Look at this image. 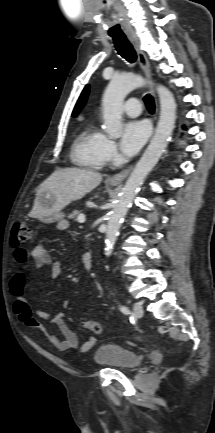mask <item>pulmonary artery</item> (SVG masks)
I'll return each instance as SVG.
<instances>
[{
    "instance_id": "e3ab8cb5",
    "label": "pulmonary artery",
    "mask_w": 215,
    "mask_h": 433,
    "mask_svg": "<svg viewBox=\"0 0 215 433\" xmlns=\"http://www.w3.org/2000/svg\"><path fill=\"white\" fill-rule=\"evenodd\" d=\"M140 109L141 104L137 98H130L123 105L124 112L129 116L139 115Z\"/></svg>"
}]
</instances>
